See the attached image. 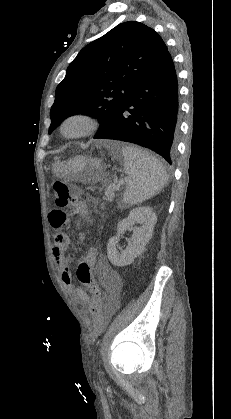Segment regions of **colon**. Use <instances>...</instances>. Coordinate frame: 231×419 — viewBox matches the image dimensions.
<instances>
[{
    "label": "colon",
    "mask_w": 231,
    "mask_h": 419,
    "mask_svg": "<svg viewBox=\"0 0 231 419\" xmlns=\"http://www.w3.org/2000/svg\"><path fill=\"white\" fill-rule=\"evenodd\" d=\"M50 189L55 196L56 205L59 207H70L71 213L82 218V223H88L85 204L80 201L77 195L63 182L55 181L51 184ZM58 225V223L56 224ZM75 270V280L81 282L82 287L89 293L86 302L90 304V311L93 317V335H99L103 330V313H102V297L103 292L100 285L96 282L95 273H92L93 266L98 250L93 245L86 247Z\"/></svg>",
    "instance_id": "1"
}]
</instances>
